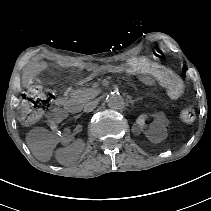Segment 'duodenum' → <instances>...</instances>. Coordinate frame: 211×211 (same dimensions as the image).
Returning a JSON list of instances; mask_svg holds the SVG:
<instances>
[{"label":"duodenum","mask_w":211,"mask_h":211,"mask_svg":"<svg viewBox=\"0 0 211 211\" xmlns=\"http://www.w3.org/2000/svg\"><path fill=\"white\" fill-rule=\"evenodd\" d=\"M64 108L71 114H76L80 111V104L76 100L69 99L65 102Z\"/></svg>","instance_id":"obj_1"}]
</instances>
